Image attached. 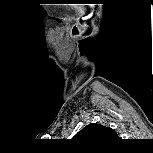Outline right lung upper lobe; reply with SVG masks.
I'll return each mask as SVG.
<instances>
[{
  "instance_id": "cb5924a9",
  "label": "right lung upper lobe",
  "mask_w": 153,
  "mask_h": 153,
  "mask_svg": "<svg viewBox=\"0 0 153 153\" xmlns=\"http://www.w3.org/2000/svg\"><path fill=\"white\" fill-rule=\"evenodd\" d=\"M80 144H96L119 139L117 133L109 127L91 123L79 131L73 138Z\"/></svg>"
}]
</instances>
